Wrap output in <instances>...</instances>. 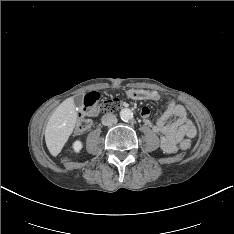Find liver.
Masks as SVG:
<instances>
[{
    "label": "liver",
    "mask_w": 234,
    "mask_h": 234,
    "mask_svg": "<svg viewBox=\"0 0 234 234\" xmlns=\"http://www.w3.org/2000/svg\"><path fill=\"white\" fill-rule=\"evenodd\" d=\"M77 112L72 97L64 100L52 113L45 129V141L49 152L57 156L72 134Z\"/></svg>",
    "instance_id": "1"
}]
</instances>
